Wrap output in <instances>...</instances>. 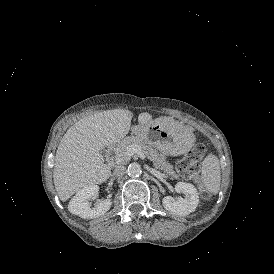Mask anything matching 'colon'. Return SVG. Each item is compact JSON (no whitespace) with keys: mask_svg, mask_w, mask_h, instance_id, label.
Returning a JSON list of instances; mask_svg holds the SVG:
<instances>
[{"mask_svg":"<svg viewBox=\"0 0 274 274\" xmlns=\"http://www.w3.org/2000/svg\"><path fill=\"white\" fill-rule=\"evenodd\" d=\"M205 154V146L203 144H197L188 153L185 158L177 164L178 172L186 177L196 178L199 174L198 162L203 158ZM206 197H210L209 193L205 194Z\"/></svg>","mask_w":274,"mask_h":274,"instance_id":"colon-1","label":"colon"}]
</instances>
